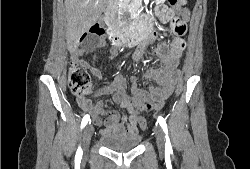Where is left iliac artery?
<instances>
[{"instance_id":"44dca946","label":"left iliac artery","mask_w":250,"mask_h":169,"mask_svg":"<svg viewBox=\"0 0 250 169\" xmlns=\"http://www.w3.org/2000/svg\"><path fill=\"white\" fill-rule=\"evenodd\" d=\"M157 121L159 122L160 126L162 127L163 131L166 134V136H165V138H166L165 150H167L169 152H172V146H171V143H170V139L168 137V129H167L166 121L161 116L158 117Z\"/></svg>"}]
</instances>
